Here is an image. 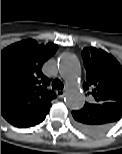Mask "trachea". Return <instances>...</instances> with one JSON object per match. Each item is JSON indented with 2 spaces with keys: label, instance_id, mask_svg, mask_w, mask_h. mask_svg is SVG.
<instances>
[{
  "label": "trachea",
  "instance_id": "trachea-1",
  "mask_svg": "<svg viewBox=\"0 0 122 154\" xmlns=\"http://www.w3.org/2000/svg\"><path fill=\"white\" fill-rule=\"evenodd\" d=\"M63 83L59 80V79H55L53 82H52V88L53 89H59V90H62L63 89Z\"/></svg>",
  "mask_w": 122,
  "mask_h": 154
}]
</instances>
